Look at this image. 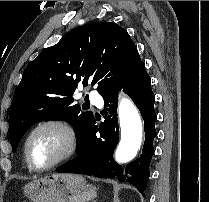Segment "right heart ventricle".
I'll return each mask as SVG.
<instances>
[{
  "label": "right heart ventricle",
  "mask_w": 209,
  "mask_h": 202,
  "mask_svg": "<svg viewBox=\"0 0 209 202\" xmlns=\"http://www.w3.org/2000/svg\"><path fill=\"white\" fill-rule=\"evenodd\" d=\"M27 164V163H26ZM28 170L31 171V169L28 167Z\"/></svg>",
  "instance_id": "right-heart-ventricle-1"
}]
</instances>
